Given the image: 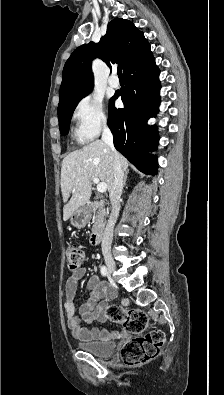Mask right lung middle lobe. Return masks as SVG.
<instances>
[{"instance_id": "right-lung-middle-lobe-1", "label": "right lung middle lobe", "mask_w": 224, "mask_h": 395, "mask_svg": "<svg viewBox=\"0 0 224 395\" xmlns=\"http://www.w3.org/2000/svg\"><path fill=\"white\" fill-rule=\"evenodd\" d=\"M87 93L81 94L74 99H72L67 105L58 109V119H59V129L62 135H66L69 132L70 120L75 107L78 102L85 97Z\"/></svg>"}]
</instances>
